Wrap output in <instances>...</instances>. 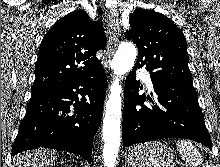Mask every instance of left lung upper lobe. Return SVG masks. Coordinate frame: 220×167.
<instances>
[{"mask_svg": "<svg viewBox=\"0 0 220 167\" xmlns=\"http://www.w3.org/2000/svg\"><path fill=\"white\" fill-rule=\"evenodd\" d=\"M125 37L138 47L136 67H145L153 78L192 84L183 32L166 16L139 8L129 18Z\"/></svg>", "mask_w": 220, "mask_h": 167, "instance_id": "5c2ea615", "label": "left lung upper lobe"}]
</instances>
